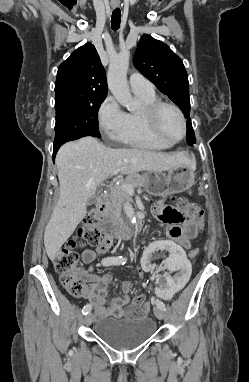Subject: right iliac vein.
Masks as SVG:
<instances>
[{
	"instance_id": "1",
	"label": "right iliac vein",
	"mask_w": 249,
	"mask_h": 382,
	"mask_svg": "<svg viewBox=\"0 0 249 382\" xmlns=\"http://www.w3.org/2000/svg\"><path fill=\"white\" fill-rule=\"evenodd\" d=\"M92 320H93V315L91 313H88L85 317H84V324L85 325H90L92 323Z\"/></svg>"
}]
</instances>
